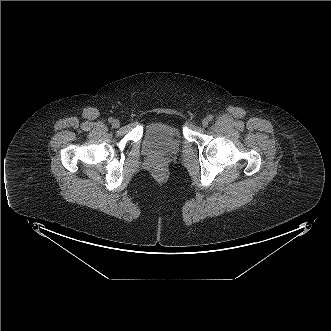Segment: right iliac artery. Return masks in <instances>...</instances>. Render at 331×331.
Listing matches in <instances>:
<instances>
[{
	"instance_id": "obj_1",
	"label": "right iliac artery",
	"mask_w": 331,
	"mask_h": 331,
	"mask_svg": "<svg viewBox=\"0 0 331 331\" xmlns=\"http://www.w3.org/2000/svg\"><path fill=\"white\" fill-rule=\"evenodd\" d=\"M108 121H109V123H112L114 121V119L113 118H109Z\"/></svg>"
}]
</instances>
